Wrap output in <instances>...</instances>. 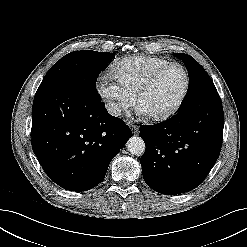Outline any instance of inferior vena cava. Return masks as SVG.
Wrapping results in <instances>:
<instances>
[{"label": "inferior vena cava", "mask_w": 247, "mask_h": 247, "mask_svg": "<svg viewBox=\"0 0 247 247\" xmlns=\"http://www.w3.org/2000/svg\"><path fill=\"white\" fill-rule=\"evenodd\" d=\"M106 109L108 111L109 114L113 115V116H120L121 115V108L114 103H109L106 105Z\"/></svg>", "instance_id": "1"}]
</instances>
